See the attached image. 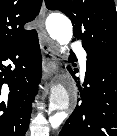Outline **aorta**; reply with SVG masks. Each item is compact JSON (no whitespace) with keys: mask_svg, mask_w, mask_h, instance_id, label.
I'll list each match as a JSON object with an SVG mask.
<instances>
[{"mask_svg":"<svg viewBox=\"0 0 117 136\" xmlns=\"http://www.w3.org/2000/svg\"><path fill=\"white\" fill-rule=\"evenodd\" d=\"M46 28L49 35L61 45V53H65L73 34L71 21L63 15L53 14L47 19ZM69 103V92L64 87H55L51 91L49 113L56 112L61 120L69 109Z\"/></svg>","mask_w":117,"mask_h":136,"instance_id":"1","label":"aorta"}]
</instances>
